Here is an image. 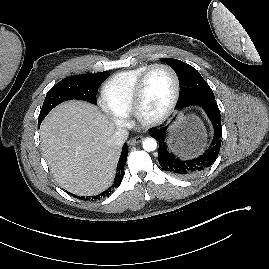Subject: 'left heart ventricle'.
Here are the masks:
<instances>
[{"instance_id":"obj_1","label":"left heart ventricle","mask_w":269,"mask_h":269,"mask_svg":"<svg viewBox=\"0 0 269 269\" xmlns=\"http://www.w3.org/2000/svg\"><path fill=\"white\" fill-rule=\"evenodd\" d=\"M174 91L171 74L163 69H154L145 84L142 112L146 117H155L162 113L169 104Z\"/></svg>"}]
</instances>
